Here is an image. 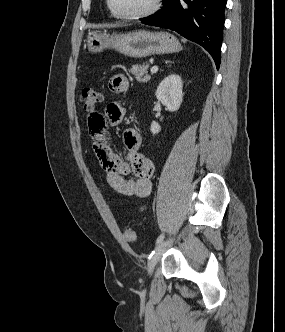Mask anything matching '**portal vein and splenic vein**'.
<instances>
[{"mask_svg": "<svg viewBox=\"0 0 285 332\" xmlns=\"http://www.w3.org/2000/svg\"><path fill=\"white\" fill-rule=\"evenodd\" d=\"M158 71V66H153L151 68V73H156Z\"/></svg>", "mask_w": 285, "mask_h": 332, "instance_id": "1", "label": "portal vein and splenic vein"}]
</instances>
